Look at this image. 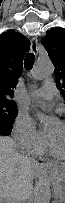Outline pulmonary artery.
Returning a JSON list of instances; mask_svg holds the SVG:
<instances>
[{"mask_svg": "<svg viewBox=\"0 0 65 203\" xmlns=\"http://www.w3.org/2000/svg\"><path fill=\"white\" fill-rule=\"evenodd\" d=\"M56 87L50 81H46L39 89L34 90L31 95L36 98L51 100L56 95Z\"/></svg>", "mask_w": 65, "mask_h": 203, "instance_id": "obj_1", "label": "pulmonary artery"}]
</instances>
